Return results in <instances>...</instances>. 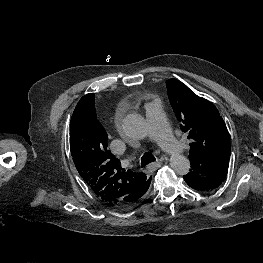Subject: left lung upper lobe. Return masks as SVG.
<instances>
[{"label":"left lung upper lobe","mask_w":263,"mask_h":263,"mask_svg":"<svg viewBox=\"0 0 263 263\" xmlns=\"http://www.w3.org/2000/svg\"><path fill=\"white\" fill-rule=\"evenodd\" d=\"M168 97L181 130L188 134L190 161L213 163L230 159V137L217 108L177 79L166 82Z\"/></svg>","instance_id":"left-lung-upper-lobe-1"}]
</instances>
